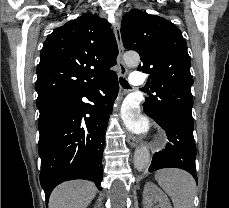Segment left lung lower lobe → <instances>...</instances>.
Listing matches in <instances>:
<instances>
[{
  "instance_id": "1",
  "label": "left lung lower lobe",
  "mask_w": 229,
  "mask_h": 208,
  "mask_svg": "<svg viewBox=\"0 0 229 208\" xmlns=\"http://www.w3.org/2000/svg\"><path fill=\"white\" fill-rule=\"evenodd\" d=\"M145 113L165 130L169 140L164 150L154 154L149 172L162 168H180L189 172L197 181L194 124L177 117Z\"/></svg>"
}]
</instances>
